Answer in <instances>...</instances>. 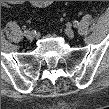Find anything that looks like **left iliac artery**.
I'll return each instance as SVG.
<instances>
[{"label": "left iliac artery", "instance_id": "1", "mask_svg": "<svg viewBox=\"0 0 109 109\" xmlns=\"http://www.w3.org/2000/svg\"><path fill=\"white\" fill-rule=\"evenodd\" d=\"M73 24H74V27H76V28H77V27H78V25H79V22H78V21H74V22H73Z\"/></svg>", "mask_w": 109, "mask_h": 109}]
</instances>
